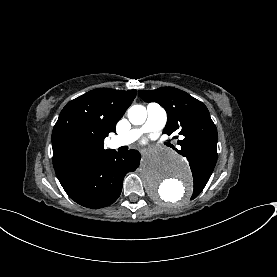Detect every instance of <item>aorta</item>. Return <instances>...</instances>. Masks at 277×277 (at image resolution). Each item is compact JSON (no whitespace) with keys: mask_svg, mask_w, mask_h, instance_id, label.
I'll return each mask as SVG.
<instances>
[{"mask_svg":"<svg viewBox=\"0 0 277 277\" xmlns=\"http://www.w3.org/2000/svg\"><path fill=\"white\" fill-rule=\"evenodd\" d=\"M129 121L141 125L147 118L142 105H133L128 110ZM141 178L149 194L157 201L180 204L192 191V179L185 159L175 152L158 148L149 152L140 166Z\"/></svg>","mask_w":277,"mask_h":277,"instance_id":"762f6f07","label":"aorta"}]
</instances>
